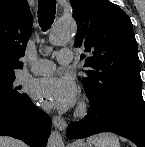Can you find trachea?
I'll list each match as a JSON object with an SVG mask.
<instances>
[{
    "label": "trachea",
    "mask_w": 145,
    "mask_h": 147,
    "mask_svg": "<svg viewBox=\"0 0 145 147\" xmlns=\"http://www.w3.org/2000/svg\"><path fill=\"white\" fill-rule=\"evenodd\" d=\"M56 0H39L38 22L43 31H47L55 19Z\"/></svg>",
    "instance_id": "3493384b"
}]
</instances>
